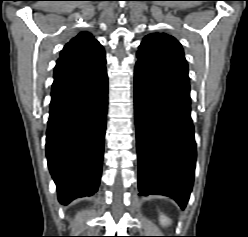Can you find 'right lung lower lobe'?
Returning <instances> with one entry per match:
<instances>
[{
	"label": "right lung lower lobe",
	"mask_w": 248,
	"mask_h": 237,
	"mask_svg": "<svg viewBox=\"0 0 248 237\" xmlns=\"http://www.w3.org/2000/svg\"><path fill=\"white\" fill-rule=\"evenodd\" d=\"M105 65L54 79L46 155L62 204L93 195L99 186L107 114Z\"/></svg>",
	"instance_id": "obj_1"
}]
</instances>
